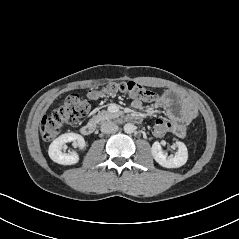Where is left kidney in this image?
<instances>
[{
  "label": "left kidney",
  "instance_id": "left-kidney-1",
  "mask_svg": "<svg viewBox=\"0 0 239 239\" xmlns=\"http://www.w3.org/2000/svg\"><path fill=\"white\" fill-rule=\"evenodd\" d=\"M178 152L175 156H168L162 150L159 142H154L151 148V153L155 161L166 168H178L184 165L188 159L187 147L183 142L177 141Z\"/></svg>",
  "mask_w": 239,
  "mask_h": 239
}]
</instances>
